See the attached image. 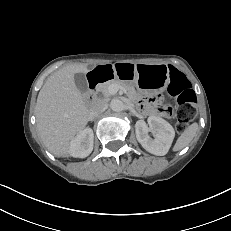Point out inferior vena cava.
Segmentation results:
<instances>
[{"label":"inferior vena cava","instance_id":"obj_1","mask_svg":"<svg viewBox=\"0 0 231 231\" xmlns=\"http://www.w3.org/2000/svg\"><path fill=\"white\" fill-rule=\"evenodd\" d=\"M105 108H106V104L103 101H97L93 105L89 116L92 117V118L96 117L99 114H101L105 110Z\"/></svg>","mask_w":231,"mask_h":231}]
</instances>
